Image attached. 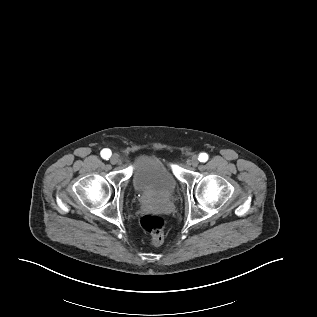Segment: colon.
I'll list each match as a JSON object with an SVG mask.
<instances>
[{
  "instance_id": "1",
  "label": "colon",
  "mask_w": 317,
  "mask_h": 317,
  "mask_svg": "<svg viewBox=\"0 0 317 317\" xmlns=\"http://www.w3.org/2000/svg\"><path fill=\"white\" fill-rule=\"evenodd\" d=\"M142 229L150 234V242L154 246L162 244L164 239L165 220L157 215H145L140 220Z\"/></svg>"
}]
</instances>
